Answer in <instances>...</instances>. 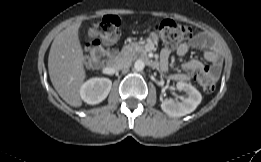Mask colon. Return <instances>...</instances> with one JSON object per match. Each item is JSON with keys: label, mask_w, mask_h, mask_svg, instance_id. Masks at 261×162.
I'll use <instances>...</instances> for the list:
<instances>
[{"label": "colon", "mask_w": 261, "mask_h": 162, "mask_svg": "<svg viewBox=\"0 0 261 162\" xmlns=\"http://www.w3.org/2000/svg\"><path fill=\"white\" fill-rule=\"evenodd\" d=\"M120 19L114 15H108L94 22L89 29L91 42L88 44L87 57L95 64H101L105 57L102 43L111 46L118 38ZM155 30L161 40L169 47L185 41L190 36V29L170 19L161 20L155 24ZM196 80L205 92H213L216 87L215 77L208 71L196 74Z\"/></svg>", "instance_id": "5ec220e1"}]
</instances>
